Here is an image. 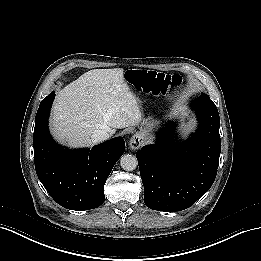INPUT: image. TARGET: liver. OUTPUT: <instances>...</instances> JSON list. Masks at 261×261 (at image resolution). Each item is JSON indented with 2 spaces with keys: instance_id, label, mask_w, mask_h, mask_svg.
Masks as SVG:
<instances>
[{
  "instance_id": "1",
  "label": "liver",
  "mask_w": 261,
  "mask_h": 261,
  "mask_svg": "<svg viewBox=\"0 0 261 261\" xmlns=\"http://www.w3.org/2000/svg\"><path fill=\"white\" fill-rule=\"evenodd\" d=\"M123 69H94L61 89L51 110V131L73 147L90 146L95 130L135 127L142 121L136 98L122 80Z\"/></svg>"
}]
</instances>
